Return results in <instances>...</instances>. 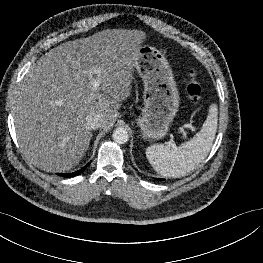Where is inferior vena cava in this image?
Here are the masks:
<instances>
[{
  "instance_id": "obj_1",
  "label": "inferior vena cava",
  "mask_w": 263,
  "mask_h": 263,
  "mask_svg": "<svg viewBox=\"0 0 263 263\" xmlns=\"http://www.w3.org/2000/svg\"><path fill=\"white\" fill-rule=\"evenodd\" d=\"M103 124V118L102 115L99 113H91L87 117V127L90 130L97 129L101 127Z\"/></svg>"
}]
</instances>
